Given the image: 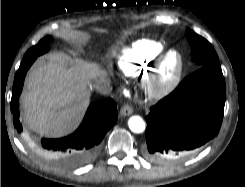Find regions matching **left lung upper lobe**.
<instances>
[{
  "label": "left lung upper lobe",
  "mask_w": 245,
  "mask_h": 187,
  "mask_svg": "<svg viewBox=\"0 0 245 187\" xmlns=\"http://www.w3.org/2000/svg\"><path fill=\"white\" fill-rule=\"evenodd\" d=\"M186 36L192 48V60L203 67L218 61V56L212 45L203 37L197 35L192 30H186Z\"/></svg>",
  "instance_id": "obj_1"
}]
</instances>
